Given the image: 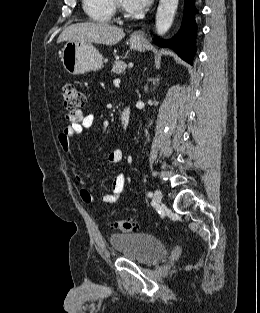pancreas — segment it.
I'll list each match as a JSON object with an SVG mask.
<instances>
[{
	"mask_svg": "<svg viewBox=\"0 0 260 313\" xmlns=\"http://www.w3.org/2000/svg\"><path fill=\"white\" fill-rule=\"evenodd\" d=\"M127 65L123 61H115V63L112 66V72L116 74H122L124 70L126 69Z\"/></svg>",
	"mask_w": 260,
	"mask_h": 313,
	"instance_id": "pancreas-1",
	"label": "pancreas"
}]
</instances>
